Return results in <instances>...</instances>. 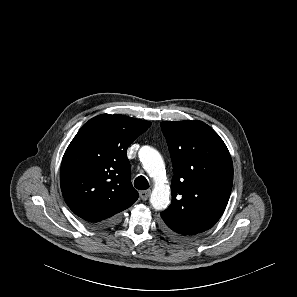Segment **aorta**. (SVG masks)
Returning <instances> with one entry per match:
<instances>
[{"mask_svg": "<svg viewBox=\"0 0 297 297\" xmlns=\"http://www.w3.org/2000/svg\"><path fill=\"white\" fill-rule=\"evenodd\" d=\"M140 160L145 171L154 180L150 203L155 210H163L170 202V187L164 181L163 159L157 150L145 147L141 151Z\"/></svg>", "mask_w": 297, "mask_h": 297, "instance_id": "762f6f07", "label": "aorta"}]
</instances>
